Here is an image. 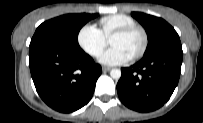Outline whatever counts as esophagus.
Here are the masks:
<instances>
[{"instance_id": "34e87169", "label": "esophagus", "mask_w": 203, "mask_h": 123, "mask_svg": "<svg viewBox=\"0 0 203 123\" xmlns=\"http://www.w3.org/2000/svg\"><path fill=\"white\" fill-rule=\"evenodd\" d=\"M102 70H103V72H107V71H110L111 70V68L110 67H102Z\"/></svg>"}]
</instances>
